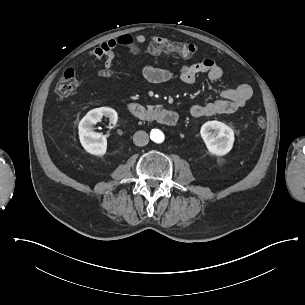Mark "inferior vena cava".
I'll return each instance as SVG.
<instances>
[{
    "label": "inferior vena cava",
    "instance_id": "inferior-vena-cava-1",
    "mask_svg": "<svg viewBox=\"0 0 305 305\" xmlns=\"http://www.w3.org/2000/svg\"><path fill=\"white\" fill-rule=\"evenodd\" d=\"M133 142L137 146H145L149 142V136L145 131H137L133 136Z\"/></svg>",
    "mask_w": 305,
    "mask_h": 305
}]
</instances>
